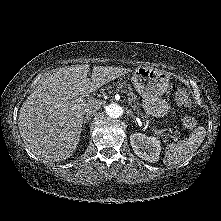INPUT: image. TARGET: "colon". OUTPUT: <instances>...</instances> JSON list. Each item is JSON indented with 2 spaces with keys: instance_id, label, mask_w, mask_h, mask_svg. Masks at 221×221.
Here are the masks:
<instances>
[{
  "instance_id": "colon-1",
  "label": "colon",
  "mask_w": 221,
  "mask_h": 221,
  "mask_svg": "<svg viewBox=\"0 0 221 221\" xmlns=\"http://www.w3.org/2000/svg\"><path fill=\"white\" fill-rule=\"evenodd\" d=\"M175 101L178 106L188 108L191 106V100L186 88L178 87L175 91ZM182 125L185 128H193L196 125L194 117L191 115H185L182 118Z\"/></svg>"
}]
</instances>
